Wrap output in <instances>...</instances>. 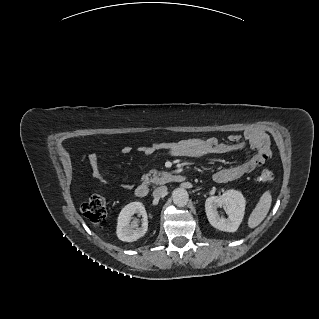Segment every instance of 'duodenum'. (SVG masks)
<instances>
[{
  "mask_svg": "<svg viewBox=\"0 0 319 319\" xmlns=\"http://www.w3.org/2000/svg\"><path fill=\"white\" fill-rule=\"evenodd\" d=\"M184 176L178 173H163L158 177L159 183H175L181 182ZM150 191V182L145 181L140 183L135 189V195L139 198H145L148 196Z\"/></svg>",
  "mask_w": 319,
  "mask_h": 319,
  "instance_id": "obj_1",
  "label": "duodenum"
}]
</instances>
